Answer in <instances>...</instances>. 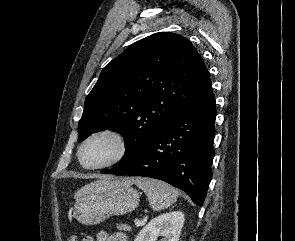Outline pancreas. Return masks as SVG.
Returning <instances> with one entry per match:
<instances>
[{"instance_id":"obj_1","label":"pancreas","mask_w":295,"mask_h":241,"mask_svg":"<svg viewBox=\"0 0 295 241\" xmlns=\"http://www.w3.org/2000/svg\"><path fill=\"white\" fill-rule=\"evenodd\" d=\"M118 230L130 231L131 227L126 224H117Z\"/></svg>"}]
</instances>
